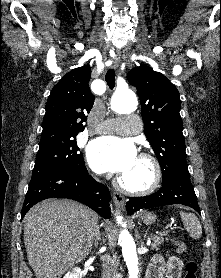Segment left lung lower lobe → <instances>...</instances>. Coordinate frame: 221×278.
<instances>
[{"mask_svg": "<svg viewBox=\"0 0 221 278\" xmlns=\"http://www.w3.org/2000/svg\"><path fill=\"white\" fill-rule=\"evenodd\" d=\"M172 204H183L200 213L188 168L178 169L167 178L162 179V187L156 193L130 198L126 209L128 214H132L133 211L140 209Z\"/></svg>", "mask_w": 221, "mask_h": 278, "instance_id": "0a47b994", "label": "left lung lower lobe"}]
</instances>
